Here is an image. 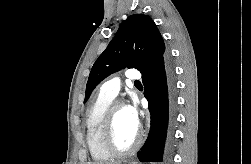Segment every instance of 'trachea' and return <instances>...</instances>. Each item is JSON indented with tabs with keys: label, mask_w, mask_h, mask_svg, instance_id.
Instances as JSON below:
<instances>
[{
	"label": "trachea",
	"mask_w": 251,
	"mask_h": 164,
	"mask_svg": "<svg viewBox=\"0 0 251 164\" xmlns=\"http://www.w3.org/2000/svg\"><path fill=\"white\" fill-rule=\"evenodd\" d=\"M135 83H140V81H135Z\"/></svg>",
	"instance_id": "3493384b"
}]
</instances>
